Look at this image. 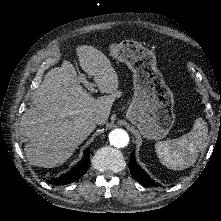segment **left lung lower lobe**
I'll use <instances>...</instances> for the list:
<instances>
[{
  "instance_id": "left-lung-lower-lobe-1",
  "label": "left lung lower lobe",
  "mask_w": 221,
  "mask_h": 221,
  "mask_svg": "<svg viewBox=\"0 0 221 221\" xmlns=\"http://www.w3.org/2000/svg\"><path fill=\"white\" fill-rule=\"evenodd\" d=\"M129 169L133 177L141 184L149 187H158L159 184L154 182L146 172L135 162L134 152L131 153L129 160Z\"/></svg>"
}]
</instances>
